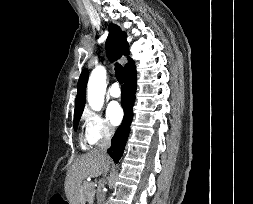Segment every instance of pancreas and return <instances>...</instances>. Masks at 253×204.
<instances>
[{
    "instance_id": "obj_1",
    "label": "pancreas",
    "mask_w": 253,
    "mask_h": 204,
    "mask_svg": "<svg viewBox=\"0 0 253 204\" xmlns=\"http://www.w3.org/2000/svg\"><path fill=\"white\" fill-rule=\"evenodd\" d=\"M81 193L84 201H87L88 204H93L94 195L96 193L94 184L83 182L81 186Z\"/></svg>"
}]
</instances>
